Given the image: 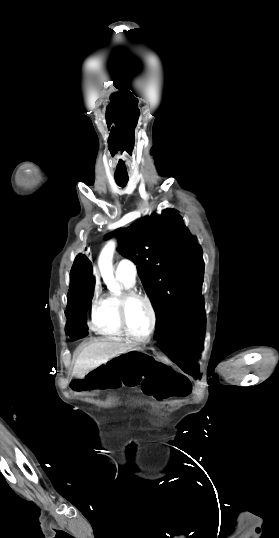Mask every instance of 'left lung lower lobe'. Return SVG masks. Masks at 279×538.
<instances>
[{"instance_id": "0a47b994", "label": "left lung lower lobe", "mask_w": 279, "mask_h": 538, "mask_svg": "<svg viewBox=\"0 0 279 538\" xmlns=\"http://www.w3.org/2000/svg\"><path fill=\"white\" fill-rule=\"evenodd\" d=\"M205 316L175 334H155L161 350L180 368L195 378L199 376L197 360L205 334Z\"/></svg>"}]
</instances>
